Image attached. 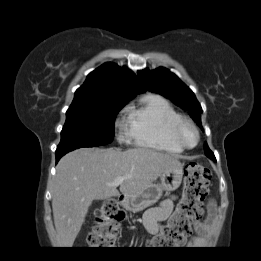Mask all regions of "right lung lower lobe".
<instances>
[{"instance_id":"obj_1","label":"right lung lower lobe","mask_w":261,"mask_h":261,"mask_svg":"<svg viewBox=\"0 0 261 261\" xmlns=\"http://www.w3.org/2000/svg\"><path fill=\"white\" fill-rule=\"evenodd\" d=\"M96 146H100V145H96ZM90 147H94V146H90ZM76 149H78V148H76ZM72 150H75V149H68V150H61V151H58V150H56V163L59 161V159L63 156V155H65L66 153H68V152H70V151H72Z\"/></svg>"}]
</instances>
